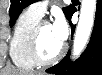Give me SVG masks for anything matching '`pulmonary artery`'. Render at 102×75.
<instances>
[{
    "mask_svg": "<svg viewBox=\"0 0 102 75\" xmlns=\"http://www.w3.org/2000/svg\"><path fill=\"white\" fill-rule=\"evenodd\" d=\"M49 3H50L49 0L37 1L31 4L29 9L32 12H34L36 15L42 17L46 12V9Z\"/></svg>",
    "mask_w": 102,
    "mask_h": 75,
    "instance_id": "pulmonary-artery-1",
    "label": "pulmonary artery"
}]
</instances>
